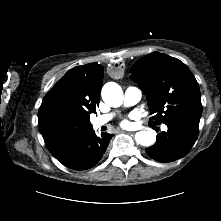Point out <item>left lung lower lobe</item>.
<instances>
[{
    "instance_id": "obj_1",
    "label": "left lung lower lobe",
    "mask_w": 221,
    "mask_h": 221,
    "mask_svg": "<svg viewBox=\"0 0 221 221\" xmlns=\"http://www.w3.org/2000/svg\"><path fill=\"white\" fill-rule=\"evenodd\" d=\"M200 118L189 116L165 122L167 132L157 135L156 143L146 148L147 155L164 163L184 157L197 140Z\"/></svg>"
}]
</instances>
